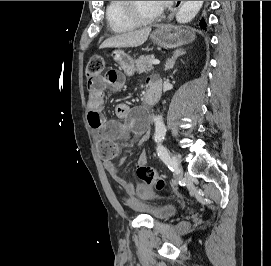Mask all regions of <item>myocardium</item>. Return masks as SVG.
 Instances as JSON below:
<instances>
[{"label":"myocardium","instance_id":"obj_1","mask_svg":"<svg viewBox=\"0 0 271 266\" xmlns=\"http://www.w3.org/2000/svg\"><path fill=\"white\" fill-rule=\"evenodd\" d=\"M121 2L124 15L136 25H147L154 23L158 21L163 15V11L160 10L157 14L151 17H143L136 11L134 1H121Z\"/></svg>","mask_w":271,"mask_h":266}]
</instances>
